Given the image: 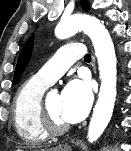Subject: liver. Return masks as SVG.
I'll return each mask as SVG.
<instances>
[{"instance_id": "obj_1", "label": "liver", "mask_w": 131, "mask_h": 151, "mask_svg": "<svg viewBox=\"0 0 131 151\" xmlns=\"http://www.w3.org/2000/svg\"><path fill=\"white\" fill-rule=\"evenodd\" d=\"M57 149H51V151H56Z\"/></svg>"}]
</instances>
